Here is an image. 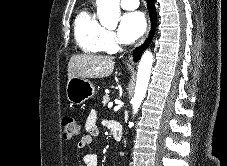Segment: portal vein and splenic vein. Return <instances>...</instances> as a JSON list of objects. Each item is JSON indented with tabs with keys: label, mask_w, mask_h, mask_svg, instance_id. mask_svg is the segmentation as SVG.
Here are the masks:
<instances>
[{
	"label": "portal vein and splenic vein",
	"mask_w": 227,
	"mask_h": 166,
	"mask_svg": "<svg viewBox=\"0 0 227 166\" xmlns=\"http://www.w3.org/2000/svg\"><path fill=\"white\" fill-rule=\"evenodd\" d=\"M112 106H113V103L110 102V103L108 104V108H111Z\"/></svg>",
	"instance_id": "1"
}]
</instances>
